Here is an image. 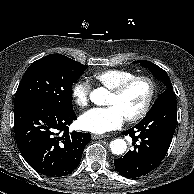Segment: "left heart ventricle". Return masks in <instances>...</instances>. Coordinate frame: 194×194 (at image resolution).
Masks as SVG:
<instances>
[{"instance_id":"1","label":"left heart ventricle","mask_w":194,"mask_h":194,"mask_svg":"<svg viewBox=\"0 0 194 194\" xmlns=\"http://www.w3.org/2000/svg\"><path fill=\"white\" fill-rule=\"evenodd\" d=\"M149 88L143 81L130 85L120 96L109 94L107 105L117 107L126 118L138 113L146 102Z\"/></svg>"}]
</instances>
